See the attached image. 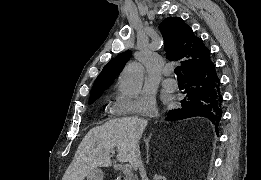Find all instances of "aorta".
I'll use <instances>...</instances> for the list:
<instances>
[{"label":"aorta","instance_id":"1","mask_svg":"<svg viewBox=\"0 0 261 180\" xmlns=\"http://www.w3.org/2000/svg\"><path fill=\"white\" fill-rule=\"evenodd\" d=\"M144 67L138 62L125 66L120 77V88L126 94L136 97L142 88Z\"/></svg>","mask_w":261,"mask_h":180}]
</instances>
